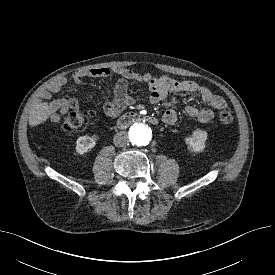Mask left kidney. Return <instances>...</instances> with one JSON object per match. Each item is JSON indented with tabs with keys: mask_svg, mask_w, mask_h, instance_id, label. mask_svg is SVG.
<instances>
[{
	"mask_svg": "<svg viewBox=\"0 0 275 275\" xmlns=\"http://www.w3.org/2000/svg\"><path fill=\"white\" fill-rule=\"evenodd\" d=\"M208 134L204 130H194L192 135L185 138L188 149L192 152H202L205 149V141Z\"/></svg>",
	"mask_w": 275,
	"mask_h": 275,
	"instance_id": "5707ae66",
	"label": "left kidney"
}]
</instances>
